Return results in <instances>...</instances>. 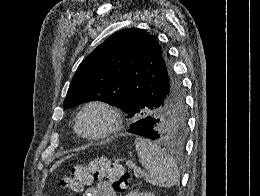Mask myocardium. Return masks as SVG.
<instances>
[{"instance_id":"myocardium-1","label":"myocardium","mask_w":260,"mask_h":196,"mask_svg":"<svg viewBox=\"0 0 260 196\" xmlns=\"http://www.w3.org/2000/svg\"><path fill=\"white\" fill-rule=\"evenodd\" d=\"M99 106L106 109L112 116V122L105 130L97 134H86L80 129V119L84 112L91 107ZM122 126L121 112L111 103L104 100H93L83 105L76 114L74 130L84 140L88 142H101L109 138L115 132H117Z\"/></svg>"}]
</instances>
